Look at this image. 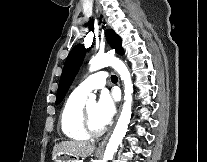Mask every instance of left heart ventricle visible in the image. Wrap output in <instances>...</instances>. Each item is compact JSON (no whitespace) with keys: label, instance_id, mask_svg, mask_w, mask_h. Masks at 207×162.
<instances>
[{"label":"left heart ventricle","instance_id":"1","mask_svg":"<svg viewBox=\"0 0 207 162\" xmlns=\"http://www.w3.org/2000/svg\"><path fill=\"white\" fill-rule=\"evenodd\" d=\"M88 111H89V116L90 120L95 128H102L103 125L100 122V119L98 117V103L97 102H92L88 104Z\"/></svg>","mask_w":207,"mask_h":162}]
</instances>
